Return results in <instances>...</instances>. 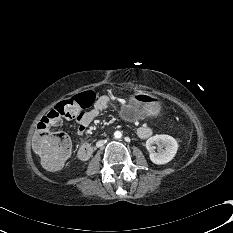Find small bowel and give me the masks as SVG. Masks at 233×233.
<instances>
[{
    "instance_id": "c3829d8e",
    "label": "small bowel",
    "mask_w": 233,
    "mask_h": 233,
    "mask_svg": "<svg viewBox=\"0 0 233 233\" xmlns=\"http://www.w3.org/2000/svg\"><path fill=\"white\" fill-rule=\"evenodd\" d=\"M111 105V99L108 96H100L88 111H76L70 109L67 114L62 115L57 108L50 110L43 116L39 123H44L48 128L59 126L62 123V117L73 119L77 123L75 134L82 135L90 123L105 111ZM152 128L147 125H142L137 129V135L141 139H147L152 135Z\"/></svg>"
}]
</instances>
